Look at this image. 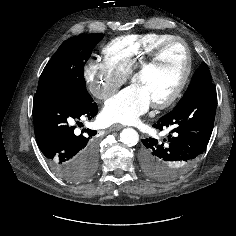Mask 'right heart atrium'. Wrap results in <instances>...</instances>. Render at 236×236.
<instances>
[{
	"label": "right heart atrium",
	"mask_w": 236,
	"mask_h": 236,
	"mask_svg": "<svg viewBox=\"0 0 236 236\" xmlns=\"http://www.w3.org/2000/svg\"><path fill=\"white\" fill-rule=\"evenodd\" d=\"M84 79L90 92L105 100L125 81L127 76L118 71L106 59H90L84 67Z\"/></svg>",
	"instance_id": "right-heart-atrium-1"
}]
</instances>
